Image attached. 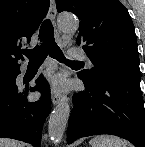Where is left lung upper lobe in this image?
<instances>
[{"label": "left lung upper lobe", "instance_id": "5c2ea615", "mask_svg": "<svg viewBox=\"0 0 145 147\" xmlns=\"http://www.w3.org/2000/svg\"><path fill=\"white\" fill-rule=\"evenodd\" d=\"M56 6L81 20L76 42L83 44L94 67L78 74L94 80L109 69H139L134 25L119 0H56Z\"/></svg>", "mask_w": 145, "mask_h": 147}]
</instances>
